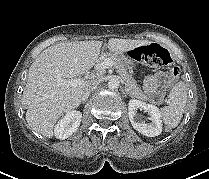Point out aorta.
<instances>
[{"instance_id":"762f6f07","label":"aorta","mask_w":209,"mask_h":179,"mask_svg":"<svg viewBox=\"0 0 209 179\" xmlns=\"http://www.w3.org/2000/svg\"><path fill=\"white\" fill-rule=\"evenodd\" d=\"M119 84H120V81L117 78L113 77L109 80L108 87L111 90H116L119 88Z\"/></svg>"}]
</instances>
